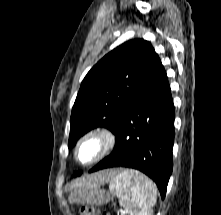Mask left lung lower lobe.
<instances>
[{"instance_id":"0a47b994","label":"left lung lower lobe","mask_w":221,"mask_h":215,"mask_svg":"<svg viewBox=\"0 0 221 215\" xmlns=\"http://www.w3.org/2000/svg\"><path fill=\"white\" fill-rule=\"evenodd\" d=\"M174 105L166 71L158 58L141 88L121 111L113 152L93 167L137 169L158 186L164 199L173 169Z\"/></svg>"}]
</instances>
